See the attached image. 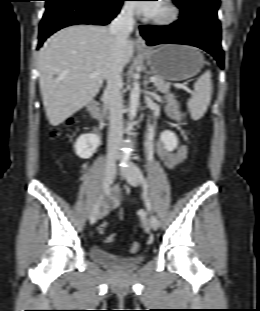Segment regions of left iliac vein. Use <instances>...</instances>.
<instances>
[{
	"mask_svg": "<svg viewBox=\"0 0 260 311\" xmlns=\"http://www.w3.org/2000/svg\"><path fill=\"white\" fill-rule=\"evenodd\" d=\"M127 182L133 186L137 187L139 185L140 179L136 167L133 163H130L129 168L126 170ZM149 225L151 229L157 230L159 227V221L155 215H151L149 219Z\"/></svg>",
	"mask_w": 260,
	"mask_h": 311,
	"instance_id": "obj_1",
	"label": "left iliac vein"
}]
</instances>
